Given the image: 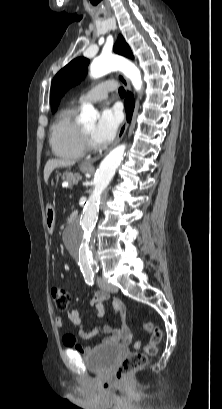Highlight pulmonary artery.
Here are the masks:
<instances>
[{
  "label": "pulmonary artery",
  "mask_w": 222,
  "mask_h": 409,
  "mask_svg": "<svg viewBox=\"0 0 222 409\" xmlns=\"http://www.w3.org/2000/svg\"><path fill=\"white\" fill-rule=\"evenodd\" d=\"M115 84L110 81H104L98 85L89 89L86 93L80 96L78 102L84 103H96L102 101L108 97L109 92L114 91Z\"/></svg>",
  "instance_id": "pulmonary-artery-1"
}]
</instances>
